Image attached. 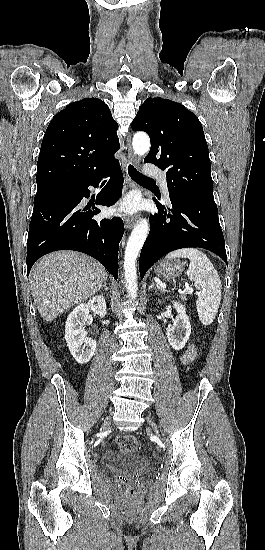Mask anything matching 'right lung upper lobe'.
Here are the masks:
<instances>
[{"label": "right lung upper lobe", "mask_w": 265, "mask_h": 550, "mask_svg": "<svg viewBox=\"0 0 265 550\" xmlns=\"http://www.w3.org/2000/svg\"><path fill=\"white\" fill-rule=\"evenodd\" d=\"M118 128L100 99L73 102L51 120L42 140L36 182L70 186L99 176L118 164Z\"/></svg>", "instance_id": "cb5924a9"}]
</instances>
